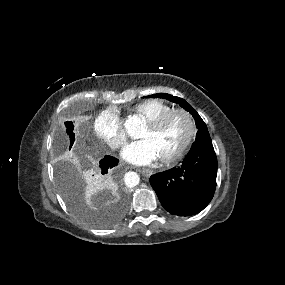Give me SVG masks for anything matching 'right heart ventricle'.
I'll list each match as a JSON object with an SVG mask.
<instances>
[{
  "label": "right heart ventricle",
  "instance_id": "e07e8e85",
  "mask_svg": "<svg viewBox=\"0 0 285 285\" xmlns=\"http://www.w3.org/2000/svg\"><path fill=\"white\" fill-rule=\"evenodd\" d=\"M171 109L172 106L162 100L149 99L137 104L134 108V111L135 113L149 121Z\"/></svg>",
  "mask_w": 285,
  "mask_h": 285
}]
</instances>
